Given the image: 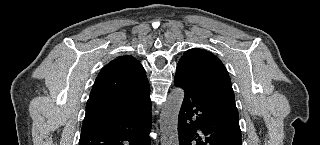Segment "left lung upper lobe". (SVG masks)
Here are the masks:
<instances>
[{
    "mask_svg": "<svg viewBox=\"0 0 320 145\" xmlns=\"http://www.w3.org/2000/svg\"><path fill=\"white\" fill-rule=\"evenodd\" d=\"M179 63L192 67L218 82L221 90L218 94V106L227 115L239 121L231 80L220 59L209 51L193 48L184 53Z\"/></svg>",
    "mask_w": 320,
    "mask_h": 145,
    "instance_id": "obj_1",
    "label": "left lung upper lobe"
}]
</instances>
